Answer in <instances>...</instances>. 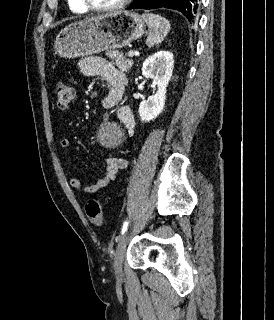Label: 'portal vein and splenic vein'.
<instances>
[{"label": "portal vein and splenic vein", "instance_id": "portal-vein-and-splenic-vein-1", "mask_svg": "<svg viewBox=\"0 0 274 320\" xmlns=\"http://www.w3.org/2000/svg\"><path fill=\"white\" fill-rule=\"evenodd\" d=\"M128 56H130V58H133V56H139V52H128Z\"/></svg>", "mask_w": 274, "mask_h": 320}]
</instances>
